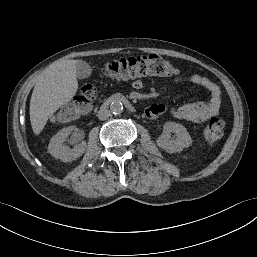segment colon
<instances>
[{
	"label": "colon",
	"mask_w": 257,
	"mask_h": 257,
	"mask_svg": "<svg viewBox=\"0 0 257 257\" xmlns=\"http://www.w3.org/2000/svg\"><path fill=\"white\" fill-rule=\"evenodd\" d=\"M103 72L111 79L138 81L147 76H169L173 74V65L159 55L126 57L108 62ZM96 97L92 84L86 83L72 101L62 106L56 115L59 121H72L86 114ZM224 123L220 118H212L204 127V136L208 141H216L223 136Z\"/></svg>",
	"instance_id": "5ec220e1"
}]
</instances>
